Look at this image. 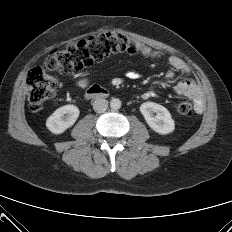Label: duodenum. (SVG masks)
<instances>
[{
	"mask_svg": "<svg viewBox=\"0 0 232 232\" xmlns=\"http://www.w3.org/2000/svg\"><path fill=\"white\" fill-rule=\"evenodd\" d=\"M107 95H108V90L100 86L91 87L85 92L86 99L104 98Z\"/></svg>",
	"mask_w": 232,
	"mask_h": 232,
	"instance_id": "obj_1",
	"label": "duodenum"
}]
</instances>
